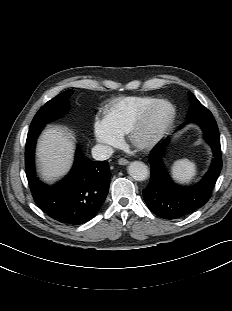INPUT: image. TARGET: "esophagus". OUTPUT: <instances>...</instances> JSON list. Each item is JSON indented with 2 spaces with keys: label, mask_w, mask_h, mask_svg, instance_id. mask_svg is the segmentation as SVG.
Wrapping results in <instances>:
<instances>
[{
  "label": "esophagus",
  "mask_w": 232,
  "mask_h": 311,
  "mask_svg": "<svg viewBox=\"0 0 232 311\" xmlns=\"http://www.w3.org/2000/svg\"><path fill=\"white\" fill-rule=\"evenodd\" d=\"M118 163H119L120 165H127V164L129 163V161H128L127 159H125V158H120V159L118 160Z\"/></svg>",
  "instance_id": "esophagus-1"
}]
</instances>
